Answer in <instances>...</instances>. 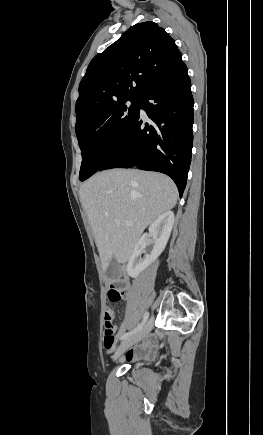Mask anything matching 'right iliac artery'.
Returning a JSON list of instances; mask_svg holds the SVG:
<instances>
[{
    "label": "right iliac artery",
    "instance_id": "82829eb1",
    "mask_svg": "<svg viewBox=\"0 0 263 435\" xmlns=\"http://www.w3.org/2000/svg\"><path fill=\"white\" fill-rule=\"evenodd\" d=\"M148 317H149V313L145 312L142 322L136 328H134L132 331L125 333L121 337V340H125L128 337H130L131 335H133V334L137 333L139 330H141L143 328V326L145 325L146 321L148 320Z\"/></svg>",
    "mask_w": 263,
    "mask_h": 435
}]
</instances>
